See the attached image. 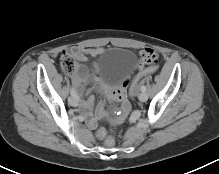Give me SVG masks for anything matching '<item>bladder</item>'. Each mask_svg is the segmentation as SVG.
<instances>
[{
  "mask_svg": "<svg viewBox=\"0 0 219 174\" xmlns=\"http://www.w3.org/2000/svg\"><path fill=\"white\" fill-rule=\"evenodd\" d=\"M101 55L94 66V72L106 87L124 82L137 62L136 54L124 48H115Z\"/></svg>",
  "mask_w": 219,
  "mask_h": 174,
  "instance_id": "bladder-1",
  "label": "bladder"
}]
</instances>
